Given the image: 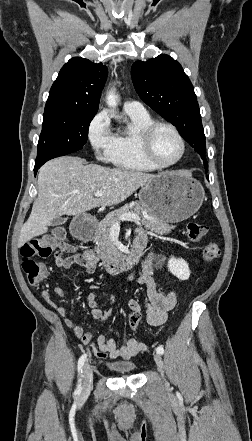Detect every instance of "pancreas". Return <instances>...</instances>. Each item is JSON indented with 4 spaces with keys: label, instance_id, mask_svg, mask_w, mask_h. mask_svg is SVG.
<instances>
[{
    "label": "pancreas",
    "instance_id": "pancreas-1",
    "mask_svg": "<svg viewBox=\"0 0 252 441\" xmlns=\"http://www.w3.org/2000/svg\"><path fill=\"white\" fill-rule=\"evenodd\" d=\"M145 207L140 203H135L132 207L125 205L110 214H108L101 222H99L96 230V247L95 252L97 258L104 262L113 261L120 252L116 248L114 242L110 236V230L113 224L120 223V216L125 213H135L142 217V224L148 230L156 232L158 234H166L171 232L175 228L174 225H170L167 222L158 220L157 218H145L143 212Z\"/></svg>",
    "mask_w": 252,
    "mask_h": 441
}]
</instances>
